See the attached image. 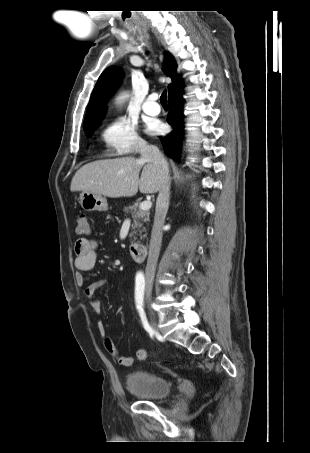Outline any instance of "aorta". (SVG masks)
<instances>
[{"label": "aorta", "instance_id": "1", "mask_svg": "<svg viewBox=\"0 0 310 453\" xmlns=\"http://www.w3.org/2000/svg\"><path fill=\"white\" fill-rule=\"evenodd\" d=\"M126 97V94H122L118 97V101H122Z\"/></svg>", "mask_w": 310, "mask_h": 453}]
</instances>
